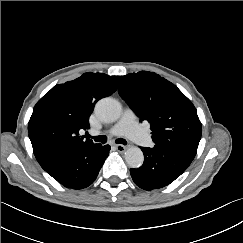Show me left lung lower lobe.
I'll return each instance as SVG.
<instances>
[{
    "instance_id": "left-lung-lower-lobe-1",
    "label": "left lung lower lobe",
    "mask_w": 243,
    "mask_h": 243,
    "mask_svg": "<svg viewBox=\"0 0 243 243\" xmlns=\"http://www.w3.org/2000/svg\"><path fill=\"white\" fill-rule=\"evenodd\" d=\"M196 146L173 144L141 147L144 163L137 169H130L133 181L145 190L162 188L172 183L194 159Z\"/></svg>"
}]
</instances>
